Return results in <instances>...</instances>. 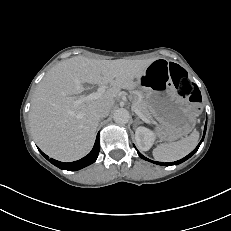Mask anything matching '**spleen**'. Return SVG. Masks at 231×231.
Masks as SVG:
<instances>
[{
    "label": "spleen",
    "instance_id": "1",
    "mask_svg": "<svg viewBox=\"0 0 231 231\" xmlns=\"http://www.w3.org/2000/svg\"><path fill=\"white\" fill-rule=\"evenodd\" d=\"M199 133L194 130L189 136L177 142L158 145L153 150V157L157 161L172 162L179 160L189 154L198 143Z\"/></svg>",
    "mask_w": 231,
    "mask_h": 231
}]
</instances>
